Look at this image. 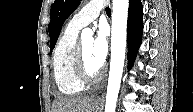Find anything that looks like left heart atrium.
<instances>
[{
	"mask_svg": "<svg viewBox=\"0 0 193 112\" xmlns=\"http://www.w3.org/2000/svg\"><path fill=\"white\" fill-rule=\"evenodd\" d=\"M92 53L95 61L103 66L108 54L107 32L103 26H100L97 35L93 41Z\"/></svg>",
	"mask_w": 193,
	"mask_h": 112,
	"instance_id": "obj_1",
	"label": "left heart atrium"
}]
</instances>
